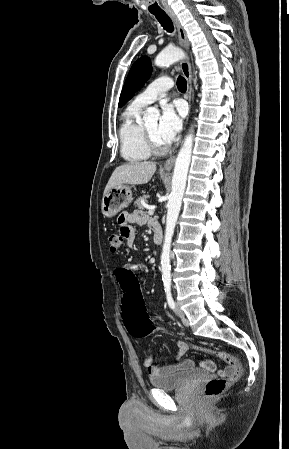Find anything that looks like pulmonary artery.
<instances>
[{"label":"pulmonary artery","instance_id":"pulmonary-artery-1","mask_svg":"<svg viewBox=\"0 0 289 449\" xmlns=\"http://www.w3.org/2000/svg\"><path fill=\"white\" fill-rule=\"evenodd\" d=\"M173 81L169 77H159L155 79L142 93L133 100V104L139 107H146L149 104L165 96L166 92L172 88Z\"/></svg>","mask_w":289,"mask_h":449}]
</instances>
